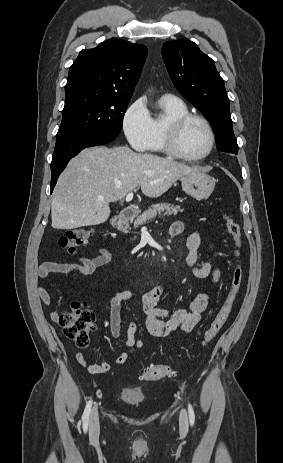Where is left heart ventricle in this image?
I'll return each mask as SVG.
<instances>
[{
	"mask_svg": "<svg viewBox=\"0 0 283 463\" xmlns=\"http://www.w3.org/2000/svg\"><path fill=\"white\" fill-rule=\"evenodd\" d=\"M209 142V134L204 124L198 120H192L183 128L178 145L184 155L197 157L207 151Z\"/></svg>",
	"mask_w": 283,
	"mask_h": 463,
	"instance_id": "b2bd125f",
	"label": "left heart ventricle"
}]
</instances>
